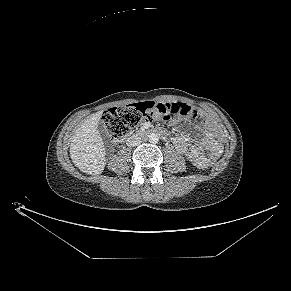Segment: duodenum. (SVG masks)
Segmentation results:
<instances>
[{
	"instance_id": "duodenum-1",
	"label": "duodenum",
	"mask_w": 291,
	"mask_h": 291,
	"mask_svg": "<svg viewBox=\"0 0 291 291\" xmlns=\"http://www.w3.org/2000/svg\"><path fill=\"white\" fill-rule=\"evenodd\" d=\"M156 133H159V134H162V131L161 130H156L155 131ZM150 133V131H148V130H141V131H139L137 134L139 135V136H145V135H147V134H149Z\"/></svg>"
}]
</instances>
